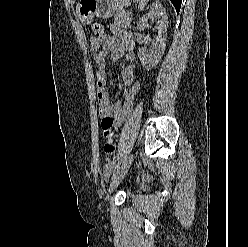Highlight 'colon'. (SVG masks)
<instances>
[{"mask_svg":"<svg viewBox=\"0 0 248 247\" xmlns=\"http://www.w3.org/2000/svg\"><path fill=\"white\" fill-rule=\"evenodd\" d=\"M92 31H93V35L96 37H102L104 35L103 26L101 25V23L95 22L92 26ZM141 88L142 86L139 81H136L135 83L132 84L129 92L126 95L125 101L121 106V109L117 115L115 121V126L117 128L122 126L123 123L125 122L130 109L132 108L138 95L140 94Z\"/></svg>","mask_w":248,"mask_h":247,"instance_id":"1","label":"colon"}]
</instances>
